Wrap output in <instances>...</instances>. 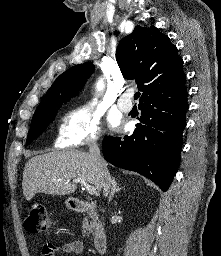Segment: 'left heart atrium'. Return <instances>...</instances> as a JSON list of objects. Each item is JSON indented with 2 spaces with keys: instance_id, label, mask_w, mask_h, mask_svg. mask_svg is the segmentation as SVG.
I'll use <instances>...</instances> for the list:
<instances>
[{
  "instance_id": "1",
  "label": "left heart atrium",
  "mask_w": 221,
  "mask_h": 256,
  "mask_svg": "<svg viewBox=\"0 0 221 256\" xmlns=\"http://www.w3.org/2000/svg\"><path fill=\"white\" fill-rule=\"evenodd\" d=\"M112 124H116V121L114 119H112Z\"/></svg>"
}]
</instances>
